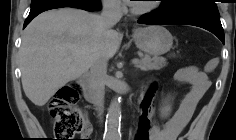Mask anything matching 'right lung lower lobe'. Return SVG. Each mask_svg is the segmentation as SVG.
I'll return each instance as SVG.
<instances>
[{
  "instance_id": "right-lung-lower-lobe-1",
  "label": "right lung lower lobe",
  "mask_w": 236,
  "mask_h": 140,
  "mask_svg": "<svg viewBox=\"0 0 236 140\" xmlns=\"http://www.w3.org/2000/svg\"><path fill=\"white\" fill-rule=\"evenodd\" d=\"M62 7H73V8H79L87 11H99L101 8V5L98 7H92L89 5H86L82 2L74 1V0H63V1H56L51 2L39 6L32 7L30 10V13L28 17L25 20L24 28L31 22L33 18H35L38 14L50 10V9H56V8H62Z\"/></svg>"
}]
</instances>
